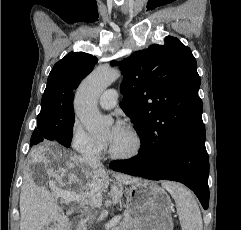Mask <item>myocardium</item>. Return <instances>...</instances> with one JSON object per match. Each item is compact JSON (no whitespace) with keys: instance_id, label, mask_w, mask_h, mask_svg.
Wrapping results in <instances>:
<instances>
[{"instance_id":"myocardium-1","label":"myocardium","mask_w":241,"mask_h":230,"mask_svg":"<svg viewBox=\"0 0 241 230\" xmlns=\"http://www.w3.org/2000/svg\"><path fill=\"white\" fill-rule=\"evenodd\" d=\"M128 130V132L130 133V135L132 136L133 140H134V147L133 149L126 153V154H117L114 153L111 148L107 149L108 155L117 161H129L132 160L134 158H136L137 156L140 155V153L142 152L143 149V139L141 137V135L131 126H128L126 128Z\"/></svg>"}]
</instances>
